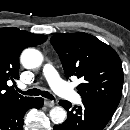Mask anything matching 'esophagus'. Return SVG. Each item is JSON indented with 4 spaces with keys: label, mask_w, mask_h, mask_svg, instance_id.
<instances>
[{
    "label": "esophagus",
    "mask_w": 130,
    "mask_h": 130,
    "mask_svg": "<svg viewBox=\"0 0 130 130\" xmlns=\"http://www.w3.org/2000/svg\"><path fill=\"white\" fill-rule=\"evenodd\" d=\"M44 105L51 108V107H54L56 105V102L52 101V100L45 99L44 100Z\"/></svg>",
    "instance_id": "34e87169"
}]
</instances>
